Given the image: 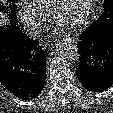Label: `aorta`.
<instances>
[{
	"label": "aorta",
	"mask_w": 113,
	"mask_h": 113,
	"mask_svg": "<svg viewBox=\"0 0 113 113\" xmlns=\"http://www.w3.org/2000/svg\"><path fill=\"white\" fill-rule=\"evenodd\" d=\"M56 50L60 56L68 61H78L80 58V50L71 40H64L60 42L57 44Z\"/></svg>",
	"instance_id": "1"
}]
</instances>
